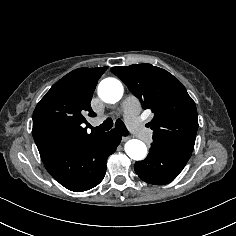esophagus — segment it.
Here are the masks:
<instances>
[{"label":"esophagus","mask_w":236,"mask_h":236,"mask_svg":"<svg viewBox=\"0 0 236 236\" xmlns=\"http://www.w3.org/2000/svg\"><path fill=\"white\" fill-rule=\"evenodd\" d=\"M128 139H130V137H128V136H123V137H122V141H123V142L127 141Z\"/></svg>","instance_id":"obj_1"}]
</instances>
